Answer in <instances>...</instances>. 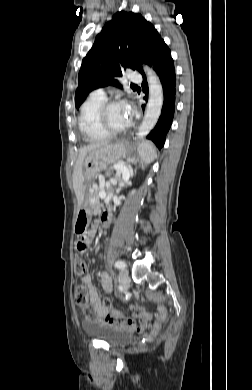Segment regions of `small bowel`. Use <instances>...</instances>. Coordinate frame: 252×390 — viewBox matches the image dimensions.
Returning <instances> with one entry per match:
<instances>
[{
	"mask_svg": "<svg viewBox=\"0 0 252 390\" xmlns=\"http://www.w3.org/2000/svg\"><path fill=\"white\" fill-rule=\"evenodd\" d=\"M110 217H111V213L108 209L102 212L100 221L94 222L92 224L91 229L87 232V237L89 239L88 243L91 241L92 237L94 236V234L96 233L100 225L104 228L109 225ZM100 278H101V285L103 290L107 294L112 293L113 286L109 274L107 272H102ZM82 282L87 286L90 304L95 309L97 318L104 319L109 314L111 307L106 306L104 304V299L102 300L100 298L98 291L92 284V280L90 276L86 275L82 277ZM124 315H125V321L123 324L126 325L129 329L135 331H142L148 327L150 314L145 308L131 305L130 313ZM165 316L166 313L164 309L160 308L158 321L160 322L163 321L165 319Z\"/></svg>",
	"mask_w": 252,
	"mask_h": 390,
	"instance_id": "small-bowel-1",
	"label": "small bowel"
}]
</instances>
